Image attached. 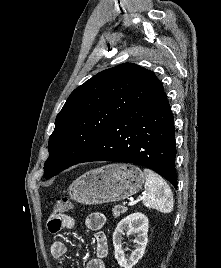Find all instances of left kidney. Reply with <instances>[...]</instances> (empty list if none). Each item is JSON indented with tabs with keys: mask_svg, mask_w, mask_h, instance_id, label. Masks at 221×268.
Masks as SVG:
<instances>
[{
	"mask_svg": "<svg viewBox=\"0 0 221 268\" xmlns=\"http://www.w3.org/2000/svg\"><path fill=\"white\" fill-rule=\"evenodd\" d=\"M148 222L149 220L144 214L133 213L118 223L113 233V245L115 258L120 267L132 268L142 258L148 242ZM124 231L127 232V235L137 234V237L133 240L135 250L130 257H126L122 249Z\"/></svg>",
	"mask_w": 221,
	"mask_h": 268,
	"instance_id": "left-kidney-1",
	"label": "left kidney"
}]
</instances>
